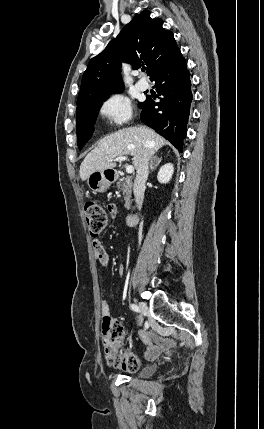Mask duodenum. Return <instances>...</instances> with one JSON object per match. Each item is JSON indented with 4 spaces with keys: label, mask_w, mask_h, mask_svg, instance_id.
Instances as JSON below:
<instances>
[{
    "label": "duodenum",
    "mask_w": 264,
    "mask_h": 429,
    "mask_svg": "<svg viewBox=\"0 0 264 429\" xmlns=\"http://www.w3.org/2000/svg\"><path fill=\"white\" fill-rule=\"evenodd\" d=\"M139 222V216L138 214H129L126 217V223L129 226H134L136 224H138Z\"/></svg>",
    "instance_id": "410a0bca"
}]
</instances>
